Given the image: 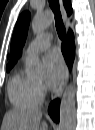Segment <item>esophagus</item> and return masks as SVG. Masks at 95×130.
<instances>
[{
    "mask_svg": "<svg viewBox=\"0 0 95 130\" xmlns=\"http://www.w3.org/2000/svg\"><path fill=\"white\" fill-rule=\"evenodd\" d=\"M60 9H61L63 20L65 22H68L69 18L67 16L66 10H65V8L63 6L62 0H60ZM68 77H69V70H68V68H66L65 72H64V75L62 76V80H61V82H60V84H59V86H58V88L56 90L55 97H54L55 99L59 98L62 95L64 87H65V85H66V83L68 81Z\"/></svg>",
    "mask_w": 95,
    "mask_h": 130,
    "instance_id": "34e87169",
    "label": "esophagus"
}]
</instances>
